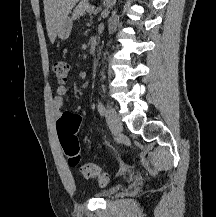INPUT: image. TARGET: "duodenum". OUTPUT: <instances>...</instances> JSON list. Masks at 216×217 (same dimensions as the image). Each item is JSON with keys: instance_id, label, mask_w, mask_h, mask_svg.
Here are the masks:
<instances>
[{"instance_id": "obj_1", "label": "duodenum", "mask_w": 216, "mask_h": 217, "mask_svg": "<svg viewBox=\"0 0 216 217\" xmlns=\"http://www.w3.org/2000/svg\"><path fill=\"white\" fill-rule=\"evenodd\" d=\"M97 39L95 37L91 38L90 41H89V49H90V52H94L96 50V47H97Z\"/></svg>"}]
</instances>
